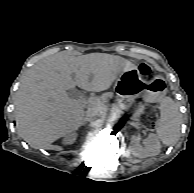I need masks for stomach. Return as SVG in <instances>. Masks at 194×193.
<instances>
[{
  "label": "stomach",
  "mask_w": 194,
  "mask_h": 193,
  "mask_svg": "<svg viewBox=\"0 0 194 193\" xmlns=\"http://www.w3.org/2000/svg\"><path fill=\"white\" fill-rule=\"evenodd\" d=\"M115 86L126 97L142 95L151 102L162 100L167 93V85L163 77L156 76L147 82L141 78L136 68L122 72Z\"/></svg>",
  "instance_id": "obj_1"
}]
</instances>
